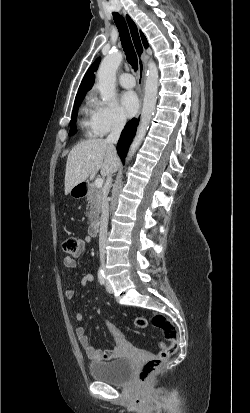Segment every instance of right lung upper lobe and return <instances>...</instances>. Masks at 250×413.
<instances>
[{
    "mask_svg": "<svg viewBox=\"0 0 250 413\" xmlns=\"http://www.w3.org/2000/svg\"><path fill=\"white\" fill-rule=\"evenodd\" d=\"M140 34H141V38H142V41H143V45H144L145 48H147L148 47V42H147L144 34L141 31H140ZM99 62H100V57L97 58L96 61L87 70V72L84 75V78H83V80L80 84V87H79V90H78V93H77L76 97L84 96L85 93L89 89H91V87L93 86L94 80H95L94 72L97 70Z\"/></svg>",
    "mask_w": 250,
    "mask_h": 413,
    "instance_id": "obj_1",
    "label": "right lung upper lobe"
}]
</instances>
